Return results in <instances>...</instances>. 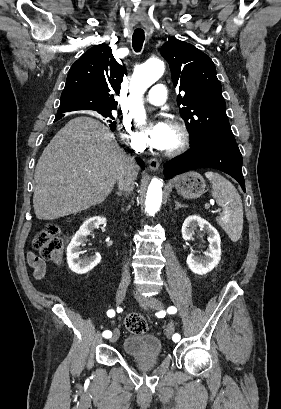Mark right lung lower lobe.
Instances as JSON below:
<instances>
[{
  "mask_svg": "<svg viewBox=\"0 0 281 409\" xmlns=\"http://www.w3.org/2000/svg\"><path fill=\"white\" fill-rule=\"evenodd\" d=\"M63 116H64V114H58V115L56 116V118H55V121L59 120V119L62 118ZM139 164H140V166L144 169V163H143L141 160H139Z\"/></svg>",
  "mask_w": 281,
  "mask_h": 409,
  "instance_id": "98d812e1",
  "label": "right lung lower lobe"
}]
</instances>
